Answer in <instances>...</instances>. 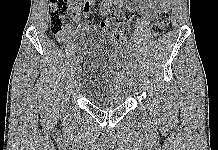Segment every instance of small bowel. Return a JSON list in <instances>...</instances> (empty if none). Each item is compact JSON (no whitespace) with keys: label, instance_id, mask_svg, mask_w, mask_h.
<instances>
[{"label":"small bowel","instance_id":"1","mask_svg":"<svg viewBox=\"0 0 218 150\" xmlns=\"http://www.w3.org/2000/svg\"><path fill=\"white\" fill-rule=\"evenodd\" d=\"M94 0H72L71 12L73 18H77L80 13L88 18L92 14ZM170 0H103L100 12L108 13L112 5L117 7V12L121 13L124 17L123 27L128 28L133 19V10L138 8L139 11L148 19H152L156 16L158 11L165 9L169 6ZM97 28L91 21L86 20L78 28L73 31L62 30L57 39L61 43L72 47L74 41L78 39L82 34L95 30Z\"/></svg>","mask_w":218,"mask_h":150}]
</instances>
